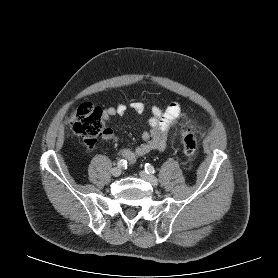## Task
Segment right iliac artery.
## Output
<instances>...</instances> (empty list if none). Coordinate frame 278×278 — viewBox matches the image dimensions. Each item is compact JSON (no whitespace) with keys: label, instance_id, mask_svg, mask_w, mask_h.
Wrapping results in <instances>:
<instances>
[{"label":"right iliac artery","instance_id":"right-iliac-artery-1","mask_svg":"<svg viewBox=\"0 0 278 278\" xmlns=\"http://www.w3.org/2000/svg\"><path fill=\"white\" fill-rule=\"evenodd\" d=\"M117 165H118L119 167H126L127 161L124 160V159H120V160L118 161Z\"/></svg>","mask_w":278,"mask_h":278}]
</instances>
